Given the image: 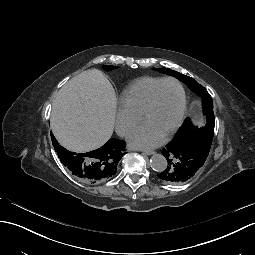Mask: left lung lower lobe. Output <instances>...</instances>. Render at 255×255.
<instances>
[{"instance_id":"1","label":"left lung lower lobe","mask_w":255,"mask_h":255,"mask_svg":"<svg viewBox=\"0 0 255 255\" xmlns=\"http://www.w3.org/2000/svg\"><path fill=\"white\" fill-rule=\"evenodd\" d=\"M162 153L168 161L164 172L157 173V178L168 183H181L193 177L197 170L206 162L195 145L187 143L173 144L171 147L162 148Z\"/></svg>"}]
</instances>
